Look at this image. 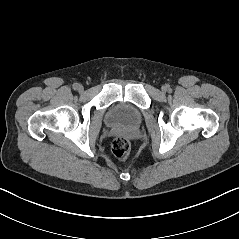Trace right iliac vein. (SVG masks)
Masks as SVG:
<instances>
[{"label":"right iliac vein","instance_id":"right-iliac-vein-1","mask_svg":"<svg viewBox=\"0 0 239 239\" xmlns=\"http://www.w3.org/2000/svg\"><path fill=\"white\" fill-rule=\"evenodd\" d=\"M83 90H84V87H83L82 85H79L78 91H79V92H82Z\"/></svg>","mask_w":239,"mask_h":239}]
</instances>
